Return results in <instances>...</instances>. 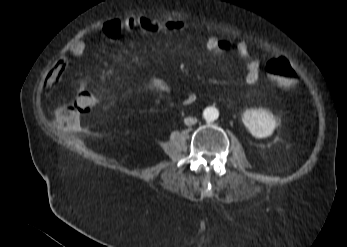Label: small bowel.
Here are the masks:
<instances>
[{"mask_svg": "<svg viewBox=\"0 0 347 247\" xmlns=\"http://www.w3.org/2000/svg\"><path fill=\"white\" fill-rule=\"evenodd\" d=\"M179 27L170 26L169 23H157L147 18H126L123 20L113 19L105 23L101 29V33L105 38L116 40L123 32L133 31H148L153 33H160L165 31H175ZM204 47L215 57H221L225 54L234 55L245 66L246 73L244 75V82L248 86H254L259 80L260 62L258 59L251 56L248 45L243 42H233L227 39H222L214 33H205ZM87 50V43L83 39L74 41L69 48L70 53L74 56H82ZM68 69V62L63 59L57 62L50 70L46 81V89L52 92L54 87L61 80L63 75ZM151 89L159 92L169 93L172 91V84L159 77L151 76L148 81ZM81 90H88L87 81L80 79L77 82V93ZM197 96L194 92H187L183 97L184 105H192L196 102Z\"/></svg>", "mask_w": 347, "mask_h": 247, "instance_id": "obj_1", "label": "small bowel"}]
</instances>
